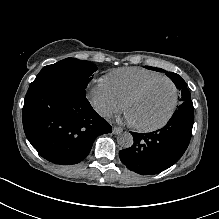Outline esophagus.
<instances>
[{"label":"esophagus","instance_id":"obj_1","mask_svg":"<svg viewBox=\"0 0 219 219\" xmlns=\"http://www.w3.org/2000/svg\"><path fill=\"white\" fill-rule=\"evenodd\" d=\"M112 132L113 134H120L123 132V129L119 126H113Z\"/></svg>","mask_w":219,"mask_h":219}]
</instances>
